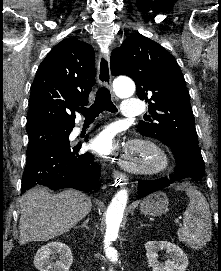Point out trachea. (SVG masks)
<instances>
[{"mask_svg":"<svg viewBox=\"0 0 221 271\" xmlns=\"http://www.w3.org/2000/svg\"><path fill=\"white\" fill-rule=\"evenodd\" d=\"M105 110L111 113L118 112L116 106L111 101L110 92L105 86L98 89L95 101L91 107L86 108L85 106H81V108L77 109V111L85 117V121L95 120V118Z\"/></svg>","mask_w":221,"mask_h":271,"instance_id":"3493384b","label":"trachea"}]
</instances>
